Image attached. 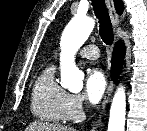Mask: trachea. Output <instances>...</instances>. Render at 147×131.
Listing matches in <instances>:
<instances>
[{
  "label": "trachea",
  "mask_w": 147,
  "mask_h": 131,
  "mask_svg": "<svg viewBox=\"0 0 147 131\" xmlns=\"http://www.w3.org/2000/svg\"><path fill=\"white\" fill-rule=\"evenodd\" d=\"M94 13L99 20L100 36L103 42L107 45H112L114 34L110 21L108 11L105 6L104 0H91Z\"/></svg>",
  "instance_id": "1"
}]
</instances>
